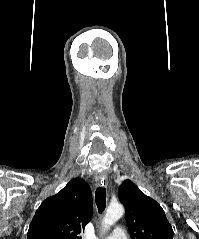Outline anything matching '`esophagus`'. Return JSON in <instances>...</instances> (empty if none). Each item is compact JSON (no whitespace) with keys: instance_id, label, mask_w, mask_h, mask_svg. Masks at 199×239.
I'll use <instances>...</instances> for the list:
<instances>
[{"instance_id":"esophagus-1","label":"esophagus","mask_w":199,"mask_h":239,"mask_svg":"<svg viewBox=\"0 0 199 239\" xmlns=\"http://www.w3.org/2000/svg\"><path fill=\"white\" fill-rule=\"evenodd\" d=\"M98 181L101 186H105L108 183L107 177L105 175L100 176Z\"/></svg>"}]
</instances>
